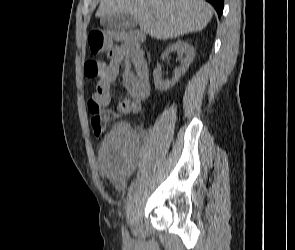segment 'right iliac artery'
Segmentation results:
<instances>
[{
  "label": "right iliac artery",
  "mask_w": 295,
  "mask_h": 250,
  "mask_svg": "<svg viewBox=\"0 0 295 250\" xmlns=\"http://www.w3.org/2000/svg\"><path fill=\"white\" fill-rule=\"evenodd\" d=\"M122 236H123V240L125 242H128L129 241V235H128L127 231L124 230V229L122 230Z\"/></svg>",
  "instance_id": "1"
}]
</instances>
